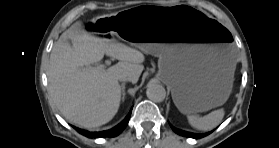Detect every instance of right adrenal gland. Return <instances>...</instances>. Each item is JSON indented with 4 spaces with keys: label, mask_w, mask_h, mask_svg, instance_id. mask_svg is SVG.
Listing matches in <instances>:
<instances>
[{
    "label": "right adrenal gland",
    "mask_w": 279,
    "mask_h": 148,
    "mask_svg": "<svg viewBox=\"0 0 279 148\" xmlns=\"http://www.w3.org/2000/svg\"><path fill=\"white\" fill-rule=\"evenodd\" d=\"M121 87H122V101H124V99H125V83H122Z\"/></svg>",
    "instance_id": "right-adrenal-gland-1"
}]
</instances>
